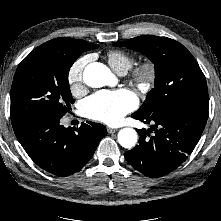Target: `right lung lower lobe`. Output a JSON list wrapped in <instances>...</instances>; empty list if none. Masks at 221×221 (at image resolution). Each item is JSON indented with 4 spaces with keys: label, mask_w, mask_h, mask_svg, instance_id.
<instances>
[{
    "label": "right lung lower lobe",
    "mask_w": 221,
    "mask_h": 221,
    "mask_svg": "<svg viewBox=\"0 0 221 221\" xmlns=\"http://www.w3.org/2000/svg\"><path fill=\"white\" fill-rule=\"evenodd\" d=\"M26 153L42 169L65 177L80 170L93 156L106 127L83 123L74 132L60 125V119L42 118L13 126Z\"/></svg>",
    "instance_id": "obj_1"
}]
</instances>
